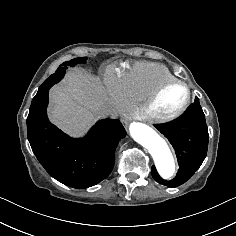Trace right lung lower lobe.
<instances>
[{
  "mask_svg": "<svg viewBox=\"0 0 236 236\" xmlns=\"http://www.w3.org/2000/svg\"><path fill=\"white\" fill-rule=\"evenodd\" d=\"M50 87L37 93L30 106L27 134L31 148L59 182L77 189L93 186L111 173L116 147L126 131L119 120L103 119L84 138H70L47 118Z\"/></svg>",
  "mask_w": 236,
  "mask_h": 236,
  "instance_id": "right-lung-lower-lobe-1",
  "label": "right lung lower lobe"
}]
</instances>
